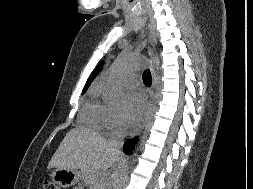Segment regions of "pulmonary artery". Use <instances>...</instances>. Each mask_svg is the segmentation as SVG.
Instances as JSON below:
<instances>
[{
    "mask_svg": "<svg viewBox=\"0 0 253 189\" xmlns=\"http://www.w3.org/2000/svg\"><path fill=\"white\" fill-rule=\"evenodd\" d=\"M127 83L131 84V85H136L138 82V79L135 75H129L126 79Z\"/></svg>",
    "mask_w": 253,
    "mask_h": 189,
    "instance_id": "obj_1",
    "label": "pulmonary artery"
}]
</instances>
